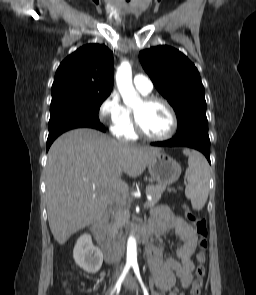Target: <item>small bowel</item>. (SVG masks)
Here are the masks:
<instances>
[{
  "instance_id": "small-bowel-1",
  "label": "small bowel",
  "mask_w": 256,
  "mask_h": 295,
  "mask_svg": "<svg viewBox=\"0 0 256 295\" xmlns=\"http://www.w3.org/2000/svg\"><path fill=\"white\" fill-rule=\"evenodd\" d=\"M148 228L152 242L145 252V260L153 282L167 295H184L191 280L192 257L197 244L192 227L167 206H158ZM170 230H174L182 242L176 251L179 261L172 257L162 260L164 237Z\"/></svg>"
}]
</instances>
